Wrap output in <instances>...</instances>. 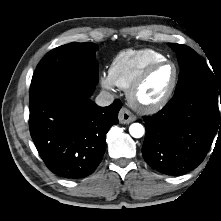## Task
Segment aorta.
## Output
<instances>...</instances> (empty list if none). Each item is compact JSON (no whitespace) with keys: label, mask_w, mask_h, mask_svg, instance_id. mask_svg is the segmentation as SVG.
<instances>
[{"label":"aorta","mask_w":221,"mask_h":221,"mask_svg":"<svg viewBox=\"0 0 221 221\" xmlns=\"http://www.w3.org/2000/svg\"><path fill=\"white\" fill-rule=\"evenodd\" d=\"M129 133L134 138H141L145 133V129L142 124L133 123L129 127Z\"/></svg>","instance_id":"1"}]
</instances>
